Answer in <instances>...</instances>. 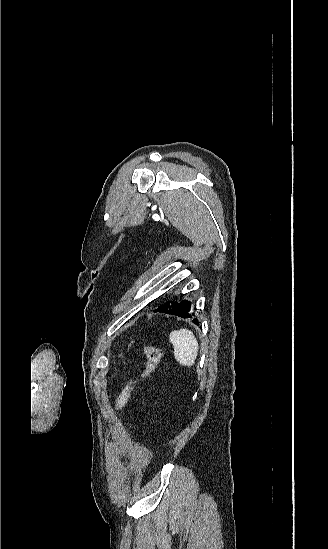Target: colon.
<instances>
[{"instance_id":"1","label":"colon","mask_w":328,"mask_h":549,"mask_svg":"<svg viewBox=\"0 0 328 549\" xmlns=\"http://www.w3.org/2000/svg\"><path fill=\"white\" fill-rule=\"evenodd\" d=\"M144 355L146 358V364L141 372L140 376L136 378L135 380L128 383L120 395L118 396L115 404V409L117 412H120L125 405L127 404L134 388L141 382L145 381L148 377H150L158 368L163 353L162 350L156 346L148 345L144 347Z\"/></svg>"}]
</instances>
